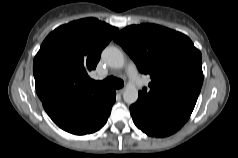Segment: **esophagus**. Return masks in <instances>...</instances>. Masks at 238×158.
Listing matches in <instances>:
<instances>
[{
  "label": "esophagus",
  "mask_w": 238,
  "mask_h": 158,
  "mask_svg": "<svg viewBox=\"0 0 238 158\" xmlns=\"http://www.w3.org/2000/svg\"><path fill=\"white\" fill-rule=\"evenodd\" d=\"M116 92H117V94L122 95L124 92V89H118V90H116Z\"/></svg>",
  "instance_id": "34e87169"
}]
</instances>
